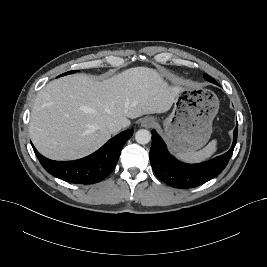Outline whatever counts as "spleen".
<instances>
[{
    "label": "spleen",
    "instance_id": "spleen-1",
    "mask_svg": "<svg viewBox=\"0 0 267 267\" xmlns=\"http://www.w3.org/2000/svg\"><path fill=\"white\" fill-rule=\"evenodd\" d=\"M217 150V141L212 140L205 148L193 152H180L177 157L186 162H201L211 157Z\"/></svg>",
    "mask_w": 267,
    "mask_h": 267
}]
</instances>
